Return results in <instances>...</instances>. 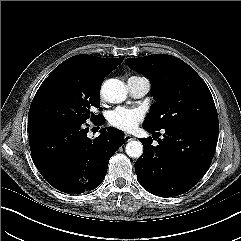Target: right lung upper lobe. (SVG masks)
Returning a JSON list of instances; mask_svg holds the SVG:
<instances>
[{
    "label": "right lung upper lobe",
    "mask_w": 241,
    "mask_h": 241,
    "mask_svg": "<svg viewBox=\"0 0 241 241\" xmlns=\"http://www.w3.org/2000/svg\"><path fill=\"white\" fill-rule=\"evenodd\" d=\"M123 60L124 58H98L90 55H76L64 62L75 68L81 80L100 87L103 79Z\"/></svg>",
    "instance_id": "right-lung-upper-lobe-1"
}]
</instances>
